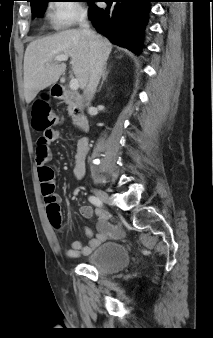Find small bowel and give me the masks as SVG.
Instances as JSON below:
<instances>
[{
    "instance_id": "c3829d8e",
    "label": "small bowel",
    "mask_w": 213,
    "mask_h": 338,
    "mask_svg": "<svg viewBox=\"0 0 213 338\" xmlns=\"http://www.w3.org/2000/svg\"><path fill=\"white\" fill-rule=\"evenodd\" d=\"M59 138L58 131H53L51 136L42 135L38 138L36 146V163L39 170L41 168H50L48 166L49 161L51 160V144ZM89 151L88 139L83 137L78 141L77 150L75 154V164H74V173L77 177L83 176L85 172V161L86 156ZM61 203V197L59 195H54L53 201L47 204L46 212L50 220V211L56 208L61 215L59 205ZM83 216H90L93 213V209L90 206H84L80 210ZM96 215L98 217L97 223V233L94 235L92 230L88 227L85 228V234L88 237L89 241L84 245L81 241H73L68 249H66V256L69 258H78L81 255H85L91 252V250L105 240L108 236H117L120 234V231L117 229L110 230L109 224L106 219V213L103 210H97ZM60 227V223L55 226Z\"/></svg>"
}]
</instances>
